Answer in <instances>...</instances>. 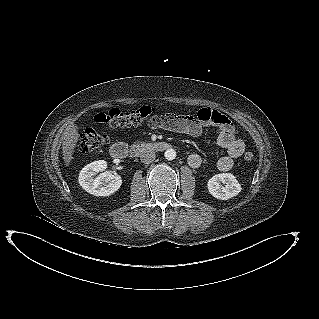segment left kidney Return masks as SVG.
Segmentation results:
<instances>
[{
  "instance_id": "1",
  "label": "left kidney",
  "mask_w": 319,
  "mask_h": 319,
  "mask_svg": "<svg viewBox=\"0 0 319 319\" xmlns=\"http://www.w3.org/2000/svg\"><path fill=\"white\" fill-rule=\"evenodd\" d=\"M226 184L221 186L220 184ZM209 193L220 200H228L241 192V185L231 173L214 175L207 183Z\"/></svg>"
}]
</instances>
